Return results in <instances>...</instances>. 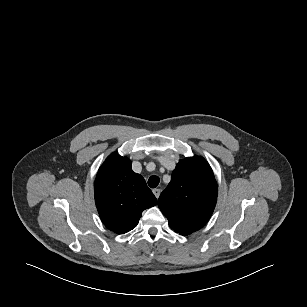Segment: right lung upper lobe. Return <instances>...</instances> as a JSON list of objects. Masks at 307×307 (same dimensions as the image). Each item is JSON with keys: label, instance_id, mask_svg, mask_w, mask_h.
I'll return each instance as SVG.
<instances>
[{"label": "right lung upper lobe", "instance_id": "obj_1", "mask_svg": "<svg viewBox=\"0 0 307 307\" xmlns=\"http://www.w3.org/2000/svg\"><path fill=\"white\" fill-rule=\"evenodd\" d=\"M94 190L102 222L118 234L134 229L142 212L157 204L144 178L132 171L131 161L115 153L99 168Z\"/></svg>", "mask_w": 307, "mask_h": 307}]
</instances>
